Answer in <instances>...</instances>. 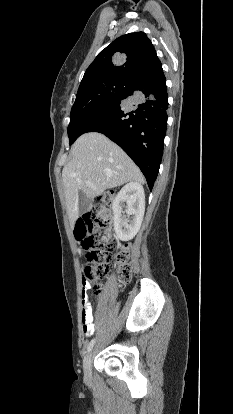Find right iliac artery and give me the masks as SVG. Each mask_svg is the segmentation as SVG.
<instances>
[{
	"instance_id": "1",
	"label": "right iliac artery",
	"mask_w": 233,
	"mask_h": 414,
	"mask_svg": "<svg viewBox=\"0 0 233 414\" xmlns=\"http://www.w3.org/2000/svg\"><path fill=\"white\" fill-rule=\"evenodd\" d=\"M95 341H96V339H95V338H93V339L89 342V344H88V346H87V352L91 351V349L93 348V346H94V344H95Z\"/></svg>"
}]
</instances>
